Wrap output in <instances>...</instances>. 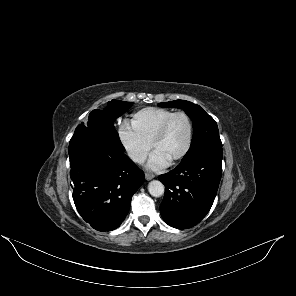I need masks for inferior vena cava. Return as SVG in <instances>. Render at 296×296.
Instances as JSON below:
<instances>
[{
  "label": "inferior vena cava",
  "mask_w": 296,
  "mask_h": 296,
  "mask_svg": "<svg viewBox=\"0 0 296 296\" xmlns=\"http://www.w3.org/2000/svg\"><path fill=\"white\" fill-rule=\"evenodd\" d=\"M129 157L137 163H144V161L146 160V154L139 152V151H130L129 152Z\"/></svg>",
  "instance_id": "obj_1"
}]
</instances>
